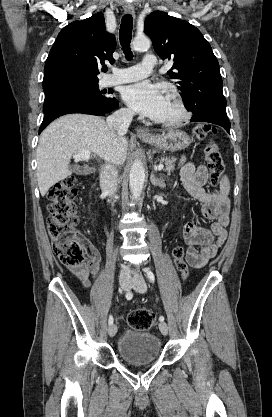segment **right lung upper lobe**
<instances>
[{"label": "right lung upper lobe", "instance_id": "obj_1", "mask_svg": "<svg viewBox=\"0 0 272 417\" xmlns=\"http://www.w3.org/2000/svg\"><path fill=\"white\" fill-rule=\"evenodd\" d=\"M115 36L105 29L104 17L95 14L64 27L44 67L43 90L98 83L99 66L114 61Z\"/></svg>", "mask_w": 272, "mask_h": 417}]
</instances>
